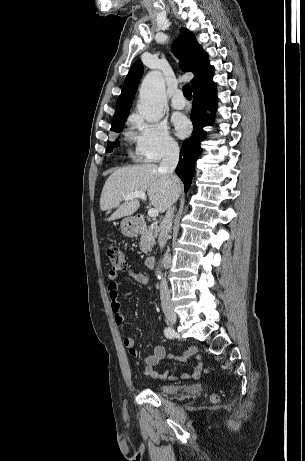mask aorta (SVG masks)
Segmentation results:
<instances>
[{
	"label": "aorta",
	"instance_id": "1",
	"mask_svg": "<svg viewBox=\"0 0 305 461\" xmlns=\"http://www.w3.org/2000/svg\"><path fill=\"white\" fill-rule=\"evenodd\" d=\"M138 111L147 122H157L163 117L165 84L158 71L149 72L143 79L139 93ZM158 279L161 272L156 270Z\"/></svg>",
	"mask_w": 305,
	"mask_h": 461
}]
</instances>
